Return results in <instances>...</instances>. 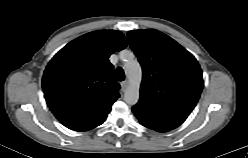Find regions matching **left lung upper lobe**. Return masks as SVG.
Segmentation results:
<instances>
[{
    "label": "left lung upper lobe",
    "instance_id": "1",
    "mask_svg": "<svg viewBox=\"0 0 248 158\" xmlns=\"http://www.w3.org/2000/svg\"><path fill=\"white\" fill-rule=\"evenodd\" d=\"M142 66L140 100L134 115L158 132L181 125L203 89L202 71L194 56L172 38L154 29L128 32Z\"/></svg>",
    "mask_w": 248,
    "mask_h": 158
}]
</instances>
